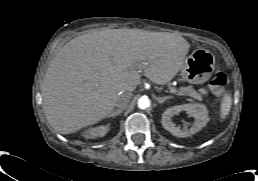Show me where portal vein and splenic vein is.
I'll return each instance as SVG.
<instances>
[{"label": "portal vein and splenic vein", "mask_w": 258, "mask_h": 181, "mask_svg": "<svg viewBox=\"0 0 258 181\" xmlns=\"http://www.w3.org/2000/svg\"><path fill=\"white\" fill-rule=\"evenodd\" d=\"M171 93H176V90L174 88H170L169 90Z\"/></svg>", "instance_id": "18ae733b"}]
</instances>
